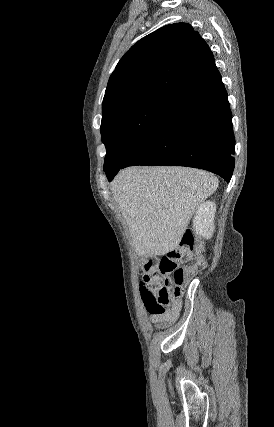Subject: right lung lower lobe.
Wrapping results in <instances>:
<instances>
[{
  "label": "right lung lower lobe",
  "mask_w": 274,
  "mask_h": 427,
  "mask_svg": "<svg viewBox=\"0 0 274 427\" xmlns=\"http://www.w3.org/2000/svg\"><path fill=\"white\" fill-rule=\"evenodd\" d=\"M235 139L227 92L218 74L177 98L153 131L123 163L104 167L109 181L132 165L205 169L229 182Z\"/></svg>",
  "instance_id": "1"
}]
</instances>
